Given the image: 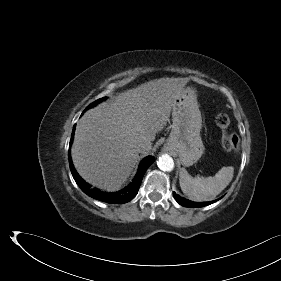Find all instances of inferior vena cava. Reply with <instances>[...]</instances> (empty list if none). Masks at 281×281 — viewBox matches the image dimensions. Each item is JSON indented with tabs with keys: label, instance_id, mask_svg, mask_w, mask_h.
Instances as JSON below:
<instances>
[{
	"label": "inferior vena cava",
	"instance_id": "inferior-vena-cava-1",
	"mask_svg": "<svg viewBox=\"0 0 281 281\" xmlns=\"http://www.w3.org/2000/svg\"><path fill=\"white\" fill-rule=\"evenodd\" d=\"M151 148L150 145L146 144V143H140L138 146H137V151L139 153H144V152H147L149 149Z\"/></svg>",
	"mask_w": 281,
	"mask_h": 281
}]
</instances>
